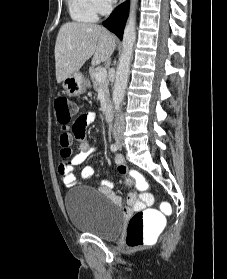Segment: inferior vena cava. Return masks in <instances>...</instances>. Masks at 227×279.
Returning <instances> with one entry per match:
<instances>
[{
  "label": "inferior vena cava",
  "instance_id": "602c4592",
  "mask_svg": "<svg viewBox=\"0 0 227 279\" xmlns=\"http://www.w3.org/2000/svg\"><path fill=\"white\" fill-rule=\"evenodd\" d=\"M124 129H125L124 117L122 114H119L116 117L114 127H113L114 137L121 135L124 132Z\"/></svg>",
  "mask_w": 227,
  "mask_h": 279
}]
</instances>
